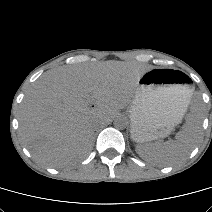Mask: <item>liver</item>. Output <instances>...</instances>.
<instances>
[{"mask_svg": "<svg viewBox=\"0 0 212 212\" xmlns=\"http://www.w3.org/2000/svg\"><path fill=\"white\" fill-rule=\"evenodd\" d=\"M146 71L134 62L112 60L45 73L21 105L22 142L38 162L51 167L84 158L91 150L95 125L110 121L131 102Z\"/></svg>", "mask_w": 212, "mask_h": 212, "instance_id": "obj_1", "label": "liver"}]
</instances>
